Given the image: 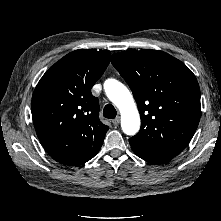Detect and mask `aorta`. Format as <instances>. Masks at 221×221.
I'll return each mask as SVG.
<instances>
[{"label":"aorta","mask_w":221,"mask_h":221,"mask_svg":"<svg viewBox=\"0 0 221 221\" xmlns=\"http://www.w3.org/2000/svg\"><path fill=\"white\" fill-rule=\"evenodd\" d=\"M104 90L109 100L119 109L121 128L127 135H135L140 129V115L128 88L121 82L108 79Z\"/></svg>","instance_id":"1"}]
</instances>
